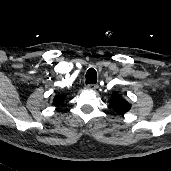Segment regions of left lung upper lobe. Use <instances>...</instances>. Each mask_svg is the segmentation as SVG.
<instances>
[{"instance_id": "left-lung-upper-lobe-1", "label": "left lung upper lobe", "mask_w": 171, "mask_h": 171, "mask_svg": "<svg viewBox=\"0 0 171 171\" xmlns=\"http://www.w3.org/2000/svg\"><path fill=\"white\" fill-rule=\"evenodd\" d=\"M110 102L112 109L120 115H123L131 109V104H129L125 99L121 98L120 94L117 92L112 93Z\"/></svg>"}]
</instances>
